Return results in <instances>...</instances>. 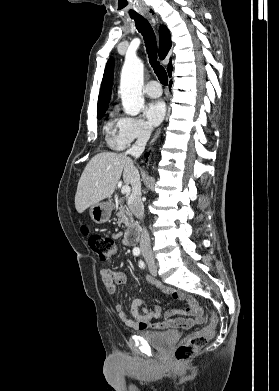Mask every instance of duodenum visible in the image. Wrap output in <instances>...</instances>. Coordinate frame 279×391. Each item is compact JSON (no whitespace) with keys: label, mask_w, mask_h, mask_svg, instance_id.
I'll return each mask as SVG.
<instances>
[{"label":"duodenum","mask_w":279,"mask_h":391,"mask_svg":"<svg viewBox=\"0 0 279 391\" xmlns=\"http://www.w3.org/2000/svg\"><path fill=\"white\" fill-rule=\"evenodd\" d=\"M125 240L130 246L136 245L140 240V227L138 225L130 226L125 234Z\"/></svg>","instance_id":"duodenum-1"}]
</instances>
